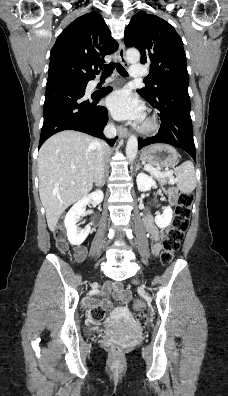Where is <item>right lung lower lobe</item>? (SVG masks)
<instances>
[{
	"label": "right lung lower lobe",
	"mask_w": 228,
	"mask_h": 396,
	"mask_svg": "<svg viewBox=\"0 0 228 396\" xmlns=\"http://www.w3.org/2000/svg\"><path fill=\"white\" fill-rule=\"evenodd\" d=\"M85 88L69 83L46 87L39 147L49 137L63 130L81 131L105 139L103 129L108 121V113L98 103L112 88L107 87L90 96L85 94ZM106 141L111 146L114 144V141Z\"/></svg>",
	"instance_id": "98d812e1"
}]
</instances>
